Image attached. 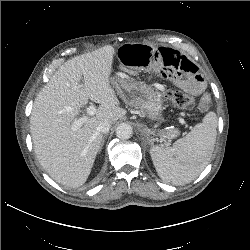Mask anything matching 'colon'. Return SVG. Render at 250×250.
<instances>
[{
  "label": "colon",
  "instance_id": "obj_1",
  "mask_svg": "<svg viewBox=\"0 0 250 250\" xmlns=\"http://www.w3.org/2000/svg\"><path fill=\"white\" fill-rule=\"evenodd\" d=\"M165 98L173 105L179 108H193L196 107L200 112L210 109L212 98L209 91L202 94L198 100L192 95L181 90L169 89L165 92Z\"/></svg>",
  "mask_w": 250,
  "mask_h": 250
}]
</instances>
